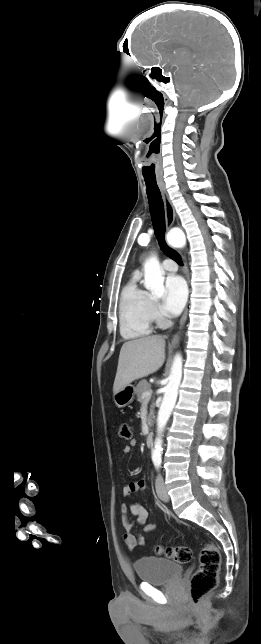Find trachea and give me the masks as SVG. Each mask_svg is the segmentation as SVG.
<instances>
[{"mask_svg": "<svg viewBox=\"0 0 261 644\" xmlns=\"http://www.w3.org/2000/svg\"><path fill=\"white\" fill-rule=\"evenodd\" d=\"M147 187L148 203L151 219L156 238L163 252L174 259L178 264L183 265L180 255L170 248L165 241V215L164 205L156 180L145 179Z\"/></svg>", "mask_w": 261, "mask_h": 644, "instance_id": "1", "label": "trachea"}]
</instances>
